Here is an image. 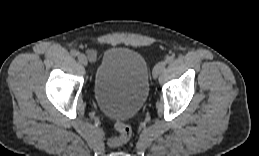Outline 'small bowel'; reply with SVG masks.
I'll list each match as a JSON object with an SVG mask.
<instances>
[{"label": "small bowel", "instance_id": "small-bowel-1", "mask_svg": "<svg viewBox=\"0 0 259 156\" xmlns=\"http://www.w3.org/2000/svg\"><path fill=\"white\" fill-rule=\"evenodd\" d=\"M88 57L91 61H96L97 59V54L94 50H89L88 51Z\"/></svg>", "mask_w": 259, "mask_h": 156}]
</instances>
